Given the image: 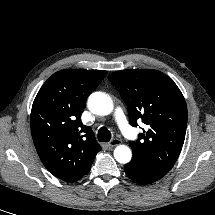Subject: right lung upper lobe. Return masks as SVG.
<instances>
[{
    "label": "right lung upper lobe",
    "instance_id": "1",
    "mask_svg": "<svg viewBox=\"0 0 215 215\" xmlns=\"http://www.w3.org/2000/svg\"><path fill=\"white\" fill-rule=\"evenodd\" d=\"M106 71L66 69L53 74L32 106L31 134L37 153L55 177L75 182L90 171L101 150L80 117L89 94Z\"/></svg>",
    "mask_w": 215,
    "mask_h": 215
}]
</instances>
